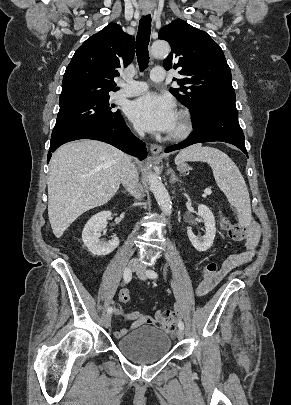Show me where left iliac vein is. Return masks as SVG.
I'll list each match as a JSON object with an SVG mask.
<instances>
[{
    "instance_id": "1",
    "label": "left iliac vein",
    "mask_w": 291,
    "mask_h": 405,
    "mask_svg": "<svg viewBox=\"0 0 291 405\" xmlns=\"http://www.w3.org/2000/svg\"><path fill=\"white\" fill-rule=\"evenodd\" d=\"M136 274L142 280L147 279L146 268L144 266H142V265L138 266V268L136 269ZM183 337H184V331H183V329L179 328L178 331H177V338L179 340H182Z\"/></svg>"
}]
</instances>
